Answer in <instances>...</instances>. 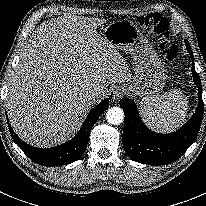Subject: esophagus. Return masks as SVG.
Segmentation results:
<instances>
[{"instance_id": "1", "label": "esophagus", "mask_w": 206, "mask_h": 206, "mask_svg": "<svg viewBox=\"0 0 206 206\" xmlns=\"http://www.w3.org/2000/svg\"><path fill=\"white\" fill-rule=\"evenodd\" d=\"M124 95V90L122 89H116L114 92H113V95H112V99L113 101L117 102L121 99V97Z\"/></svg>"}]
</instances>
